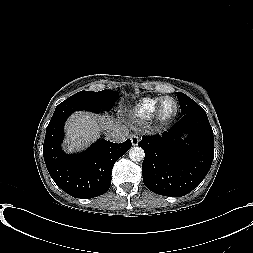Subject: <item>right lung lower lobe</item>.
Instances as JSON below:
<instances>
[{
	"mask_svg": "<svg viewBox=\"0 0 253 253\" xmlns=\"http://www.w3.org/2000/svg\"><path fill=\"white\" fill-rule=\"evenodd\" d=\"M78 110L96 111L86 105L56 107L46 129L43 156L52 179L62 190L73 197L88 199L107 192L114 163L132 144L129 139L120 144L98 140L80 154H65L61 150L64 123Z\"/></svg>",
	"mask_w": 253,
	"mask_h": 253,
	"instance_id": "right-lung-lower-lobe-1",
	"label": "right lung lower lobe"
}]
</instances>
